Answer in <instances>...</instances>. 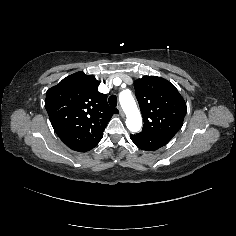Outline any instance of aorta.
Segmentation results:
<instances>
[{"label":"aorta","instance_id":"762f6f07","mask_svg":"<svg viewBox=\"0 0 236 236\" xmlns=\"http://www.w3.org/2000/svg\"><path fill=\"white\" fill-rule=\"evenodd\" d=\"M118 97L119 103L127 115V128L133 134L138 133L142 128V118L140 112L137 109L132 92L130 90H123L119 93Z\"/></svg>","mask_w":236,"mask_h":236}]
</instances>
